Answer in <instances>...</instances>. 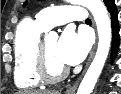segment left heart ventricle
I'll return each mask as SVG.
<instances>
[{"label":"left heart ventricle","instance_id":"left-heart-ventricle-1","mask_svg":"<svg viewBox=\"0 0 121 94\" xmlns=\"http://www.w3.org/2000/svg\"><path fill=\"white\" fill-rule=\"evenodd\" d=\"M44 45L50 70L52 72H58L60 69L64 68L66 65L62 63L57 56V41L49 39L44 41Z\"/></svg>","mask_w":121,"mask_h":94}]
</instances>
